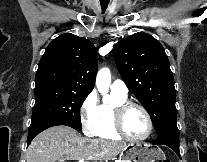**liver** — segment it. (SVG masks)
<instances>
[{"label": "liver", "instance_id": "liver-1", "mask_svg": "<svg viewBox=\"0 0 207 162\" xmlns=\"http://www.w3.org/2000/svg\"><path fill=\"white\" fill-rule=\"evenodd\" d=\"M127 146L126 143L82 137L73 128L58 125L46 129L33 139L26 152V161H108Z\"/></svg>", "mask_w": 207, "mask_h": 162}]
</instances>
